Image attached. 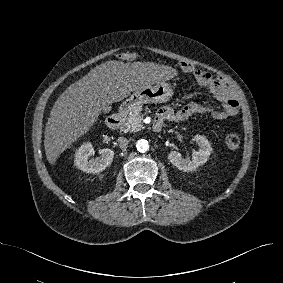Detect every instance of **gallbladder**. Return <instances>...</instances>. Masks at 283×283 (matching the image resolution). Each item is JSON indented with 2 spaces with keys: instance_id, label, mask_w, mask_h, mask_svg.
I'll return each instance as SVG.
<instances>
[{
  "instance_id": "bac80fb5",
  "label": "gallbladder",
  "mask_w": 283,
  "mask_h": 283,
  "mask_svg": "<svg viewBox=\"0 0 283 283\" xmlns=\"http://www.w3.org/2000/svg\"><path fill=\"white\" fill-rule=\"evenodd\" d=\"M104 112L107 113V112H109V111L106 110V111H104Z\"/></svg>"
}]
</instances>
